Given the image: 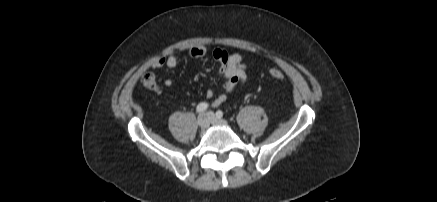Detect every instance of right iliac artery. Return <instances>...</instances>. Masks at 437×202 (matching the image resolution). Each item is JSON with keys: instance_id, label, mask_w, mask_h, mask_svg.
I'll use <instances>...</instances> for the list:
<instances>
[{"instance_id": "right-iliac-artery-1", "label": "right iliac artery", "mask_w": 437, "mask_h": 202, "mask_svg": "<svg viewBox=\"0 0 437 202\" xmlns=\"http://www.w3.org/2000/svg\"><path fill=\"white\" fill-rule=\"evenodd\" d=\"M207 108H208V104L205 103V102H201V103L198 104V106H197V108H196V111H197L198 113H202V112H204Z\"/></svg>"}]
</instances>
